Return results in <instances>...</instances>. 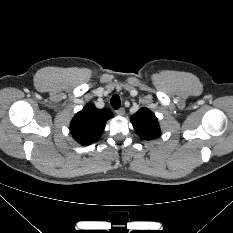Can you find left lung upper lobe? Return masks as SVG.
<instances>
[{"label":"left lung upper lobe","mask_w":233,"mask_h":233,"mask_svg":"<svg viewBox=\"0 0 233 233\" xmlns=\"http://www.w3.org/2000/svg\"><path fill=\"white\" fill-rule=\"evenodd\" d=\"M137 134L144 140L158 138L161 134L157 117L146 108H141L130 119Z\"/></svg>","instance_id":"5c2ea615"}]
</instances>
